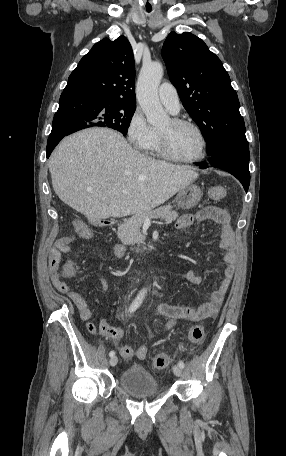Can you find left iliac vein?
Masks as SVG:
<instances>
[{
    "mask_svg": "<svg viewBox=\"0 0 286 456\" xmlns=\"http://www.w3.org/2000/svg\"><path fill=\"white\" fill-rule=\"evenodd\" d=\"M182 368L178 365L173 366V372L177 377H180L182 375Z\"/></svg>",
    "mask_w": 286,
    "mask_h": 456,
    "instance_id": "obj_1",
    "label": "left iliac vein"
}]
</instances>
